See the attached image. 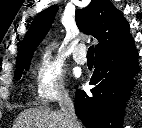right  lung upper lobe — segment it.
I'll use <instances>...</instances> for the list:
<instances>
[{"mask_svg":"<svg viewBox=\"0 0 142 128\" xmlns=\"http://www.w3.org/2000/svg\"><path fill=\"white\" fill-rule=\"evenodd\" d=\"M57 10L58 6L52 5L35 17L22 41L16 64L31 60L35 48L53 23ZM75 18L81 31L99 41L95 47L96 56L114 52L133 41L127 21L110 0H92L87 7L76 12Z\"/></svg>","mask_w":142,"mask_h":128,"instance_id":"cb5924a9","label":"right lung upper lobe"}]
</instances>
